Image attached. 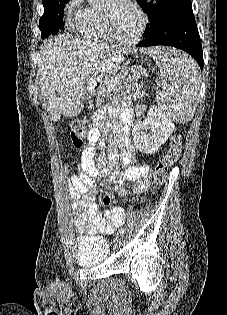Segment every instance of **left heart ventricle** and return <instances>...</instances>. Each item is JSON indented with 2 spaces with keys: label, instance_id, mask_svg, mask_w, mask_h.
<instances>
[{
  "label": "left heart ventricle",
  "instance_id": "left-heart-ventricle-1",
  "mask_svg": "<svg viewBox=\"0 0 227 315\" xmlns=\"http://www.w3.org/2000/svg\"><path fill=\"white\" fill-rule=\"evenodd\" d=\"M102 8L109 12L112 26L118 35L130 38L138 32L141 19L131 5L121 0H106Z\"/></svg>",
  "mask_w": 227,
  "mask_h": 315
}]
</instances>
